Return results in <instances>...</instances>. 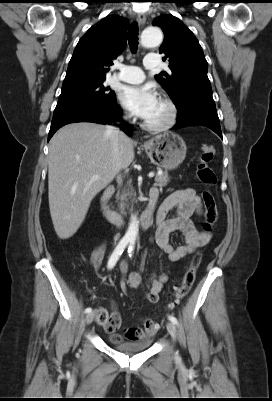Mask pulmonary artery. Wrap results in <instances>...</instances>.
I'll use <instances>...</instances> for the list:
<instances>
[{
  "instance_id": "e3ab8cb5",
  "label": "pulmonary artery",
  "mask_w": 272,
  "mask_h": 401,
  "mask_svg": "<svg viewBox=\"0 0 272 401\" xmlns=\"http://www.w3.org/2000/svg\"><path fill=\"white\" fill-rule=\"evenodd\" d=\"M144 67L146 69H153L158 67V58L156 55H149L144 59ZM115 68L118 69V73L114 75V78L121 82L126 83H140L144 79V72L136 66H128L117 63Z\"/></svg>"
}]
</instances>
